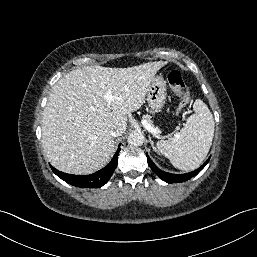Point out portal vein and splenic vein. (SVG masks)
Wrapping results in <instances>:
<instances>
[{"label": "portal vein and splenic vein", "mask_w": 257, "mask_h": 257, "mask_svg": "<svg viewBox=\"0 0 257 257\" xmlns=\"http://www.w3.org/2000/svg\"><path fill=\"white\" fill-rule=\"evenodd\" d=\"M104 98L106 99L107 101V107L109 108L110 107V104L112 101H114V96L112 95V93L110 91L106 92L105 95H104ZM144 127L151 133H157V130L151 126L150 124H148L147 122H144L143 123Z\"/></svg>", "instance_id": "obj_1"}]
</instances>
